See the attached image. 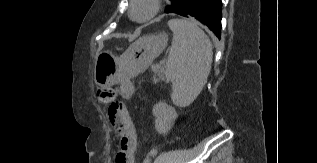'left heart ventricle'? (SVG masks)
<instances>
[{"mask_svg":"<svg viewBox=\"0 0 317 163\" xmlns=\"http://www.w3.org/2000/svg\"><path fill=\"white\" fill-rule=\"evenodd\" d=\"M150 11V5L147 0H138L135 9H134V16L136 18H142L146 16Z\"/></svg>","mask_w":317,"mask_h":163,"instance_id":"1","label":"left heart ventricle"}]
</instances>
